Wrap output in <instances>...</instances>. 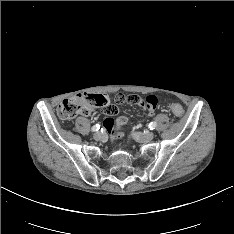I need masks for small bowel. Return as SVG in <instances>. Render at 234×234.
Returning <instances> with one entry per match:
<instances>
[{
  "mask_svg": "<svg viewBox=\"0 0 234 234\" xmlns=\"http://www.w3.org/2000/svg\"><path fill=\"white\" fill-rule=\"evenodd\" d=\"M114 103L121 105H138L143 107L151 115L155 110V107L158 105L156 97L147 95L144 98L139 97L133 92H130L126 95L119 93L113 98ZM112 99L108 95L101 93L95 96L93 103L95 107L101 109L103 116L108 119L104 122L105 128L112 136H117L119 130L128 122L126 116H120L117 120H113L111 117H117L120 114L119 108L116 104L111 103ZM148 107V108H147Z\"/></svg>",
  "mask_w": 234,
  "mask_h": 234,
  "instance_id": "c3829d8e",
  "label": "small bowel"
}]
</instances>
